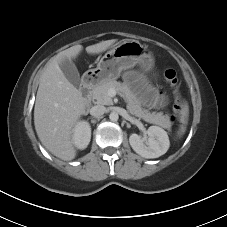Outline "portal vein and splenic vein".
Wrapping results in <instances>:
<instances>
[{
  "mask_svg": "<svg viewBox=\"0 0 227 227\" xmlns=\"http://www.w3.org/2000/svg\"><path fill=\"white\" fill-rule=\"evenodd\" d=\"M115 93H116V92H115L114 89H110V90H109V94H110L111 96L115 95Z\"/></svg>",
  "mask_w": 227,
  "mask_h": 227,
  "instance_id": "18ae733b",
  "label": "portal vein and splenic vein"
}]
</instances>
